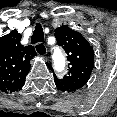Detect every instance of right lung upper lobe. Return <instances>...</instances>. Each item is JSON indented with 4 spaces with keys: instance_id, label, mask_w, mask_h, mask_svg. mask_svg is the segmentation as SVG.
Wrapping results in <instances>:
<instances>
[{
    "instance_id": "cb5924a9",
    "label": "right lung upper lobe",
    "mask_w": 117,
    "mask_h": 117,
    "mask_svg": "<svg viewBox=\"0 0 117 117\" xmlns=\"http://www.w3.org/2000/svg\"><path fill=\"white\" fill-rule=\"evenodd\" d=\"M21 34L17 30L0 38V90L15 92L25 84L30 69V60L36 55L33 46L20 43Z\"/></svg>"
}]
</instances>
